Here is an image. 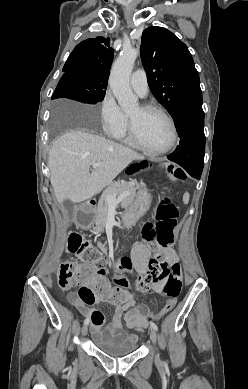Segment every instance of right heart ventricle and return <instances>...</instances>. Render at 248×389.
I'll return each mask as SVG.
<instances>
[{
	"label": "right heart ventricle",
	"instance_id": "1",
	"mask_svg": "<svg viewBox=\"0 0 248 389\" xmlns=\"http://www.w3.org/2000/svg\"><path fill=\"white\" fill-rule=\"evenodd\" d=\"M115 138L129 146L136 147L129 134L128 121H126L123 129L115 136Z\"/></svg>",
	"mask_w": 248,
	"mask_h": 389
}]
</instances>
